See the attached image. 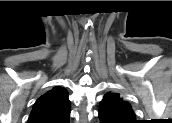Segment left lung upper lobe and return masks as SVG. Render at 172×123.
<instances>
[{
    "label": "left lung upper lobe",
    "mask_w": 172,
    "mask_h": 123,
    "mask_svg": "<svg viewBox=\"0 0 172 123\" xmlns=\"http://www.w3.org/2000/svg\"><path fill=\"white\" fill-rule=\"evenodd\" d=\"M99 119L108 123H135V113L119 94L108 93L100 103Z\"/></svg>",
    "instance_id": "obj_1"
}]
</instances>
